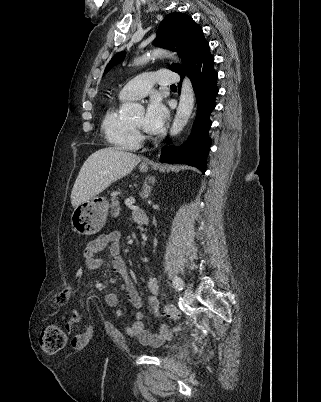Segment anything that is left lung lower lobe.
Instances as JSON below:
<instances>
[{"mask_svg":"<svg viewBox=\"0 0 321 402\" xmlns=\"http://www.w3.org/2000/svg\"><path fill=\"white\" fill-rule=\"evenodd\" d=\"M188 74L194 87L197 100V115L187 141L176 148L167 147L160 160L165 163H185L206 171V158L211 146L208 131L211 127L210 113L215 108L218 93L217 72L214 70V57L208 42L203 43L194 53L186 68L179 73L182 78ZM180 87V85H179Z\"/></svg>","mask_w":321,"mask_h":402,"instance_id":"obj_1","label":"left lung lower lobe"}]
</instances>
